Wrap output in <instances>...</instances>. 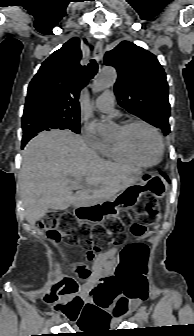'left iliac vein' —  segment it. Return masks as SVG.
<instances>
[{"label":"left iliac vein","mask_w":194,"mask_h":336,"mask_svg":"<svg viewBox=\"0 0 194 336\" xmlns=\"http://www.w3.org/2000/svg\"><path fill=\"white\" fill-rule=\"evenodd\" d=\"M136 319L139 321V322H142L144 320V317L143 315L141 314V312H137L136 315H135Z\"/></svg>","instance_id":"1"}]
</instances>
